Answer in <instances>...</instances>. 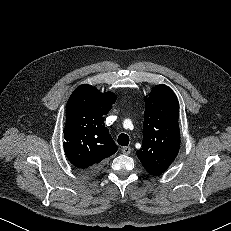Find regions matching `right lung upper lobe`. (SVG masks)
Listing matches in <instances>:
<instances>
[{"mask_svg": "<svg viewBox=\"0 0 231 231\" xmlns=\"http://www.w3.org/2000/svg\"><path fill=\"white\" fill-rule=\"evenodd\" d=\"M115 100L112 92L101 93L88 84L76 88L68 99L63 146L68 160L78 169L100 167L118 150L103 118Z\"/></svg>", "mask_w": 231, "mask_h": 231, "instance_id": "1", "label": "right lung upper lobe"}]
</instances>
